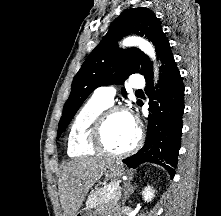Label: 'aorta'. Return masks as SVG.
Listing matches in <instances>:
<instances>
[{
  "label": "aorta",
  "instance_id": "obj_1",
  "mask_svg": "<svg viewBox=\"0 0 221 216\" xmlns=\"http://www.w3.org/2000/svg\"><path fill=\"white\" fill-rule=\"evenodd\" d=\"M123 47H132L137 46L139 47L144 53L149 55L153 60H155V51L151 43L148 41L140 38V37H128L123 40L122 42ZM157 71V68H156Z\"/></svg>",
  "mask_w": 221,
  "mask_h": 216
}]
</instances>
